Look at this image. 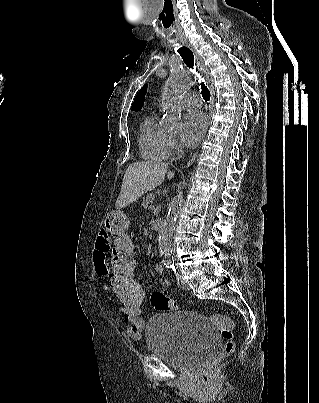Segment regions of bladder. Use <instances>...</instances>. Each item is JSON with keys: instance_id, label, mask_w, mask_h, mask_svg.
Returning <instances> with one entry per match:
<instances>
[{"instance_id": "31cf9c89", "label": "bladder", "mask_w": 319, "mask_h": 403, "mask_svg": "<svg viewBox=\"0 0 319 403\" xmlns=\"http://www.w3.org/2000/svg\"><path fill=\"white\" fill-rule=\"evenodd\" d=\"M145 339L151 354L181 371L197 369L220 346L210 321L192 311L151 316Z\"/></svg>"}]
</instances>
